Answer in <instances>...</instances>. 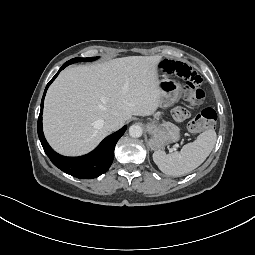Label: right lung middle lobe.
Segmentation results:
<instances>
[{
    "mask_svg": "<svg viewBox=\"0 0 255 255\" xmlns=\"http://www.w3.org/2000/svg\"><path fill=\"white\" fill-rule=\"evenodd\" d=\"M97 57H90V58H74L69 60L71 63H76V62H84V61H93L95 60Z\"/></svg>",
    "mask_w": 255,
    "mask_h": 255,
    "instance_id": "right-lung-middle-lobe-1",
    "label": "right lung middle lobe"
}]
</instances>
